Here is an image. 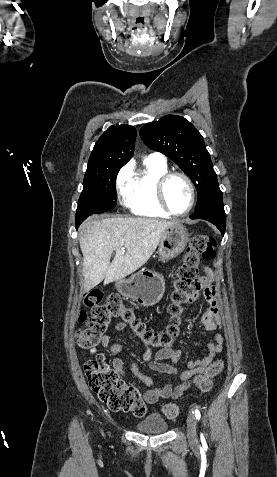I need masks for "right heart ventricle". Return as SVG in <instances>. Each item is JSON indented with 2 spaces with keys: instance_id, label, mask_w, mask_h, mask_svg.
I'll list each match as a JSON object with an SVG mask.
<instances>
[{
  "instance_id": "obj_1",
  "label": "right heart ventricle",
  "mask_w": 277,
  "mask_h": 477,
  "mask_svg": "<svg viewBox=\"0 0 277 477\" xmlns=\"http://www.w3.org/2000/svg\"><path fill=\"white\" fill-rule=\"evenodd\" d=\"M167 171L166 163L148 159L144 161V169L131 178L125 201L133 214L149 218H169L171 216L163 210L156 196L157 180Z\"/></svg>"
}]
</instances>
